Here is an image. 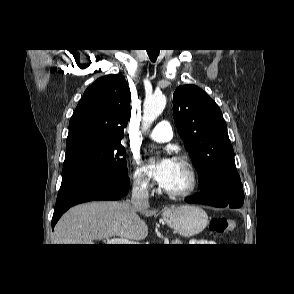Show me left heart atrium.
I'll use <instances>...</instances> for the list:
<instances>
[{
	"label": "left heart atrium",
	"mask_w": 294,
	"mask_h": 294,
	"mask_svg": "<svg viewBox=\"0 0 294 294\" xmlns=\"http://www.w3.org/2000/svg\"><path fill=\"white\" fill-rule=\"evenodd\" d=\"M174 164L175 161L168 156L150 158L146 170L160 185H164L173 170Z\"/></svg>",
	"instance_id": "obj_1"
}]
</instances>
